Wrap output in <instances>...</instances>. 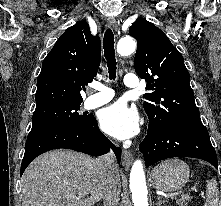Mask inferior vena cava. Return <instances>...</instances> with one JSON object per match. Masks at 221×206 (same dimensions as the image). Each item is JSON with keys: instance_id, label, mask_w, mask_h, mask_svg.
Instances as JSON below:
<instances>
[{"instance_id": "obj_1", "label": "inferior vena cava", "mask_w": 221, "mask_h": 206, "mask_svg": "<svg viewBox=\"0 0 221 206\" xmlns=\"http://www.w3.org/2000/svg\"><path fill=\"white\" fill-rule=\"evenodd\" d=\"M105 172V181L102 188L104 206H116L120 200V178L115 155L110 153L99 158Z\"/></svg>"}]
</instances>
